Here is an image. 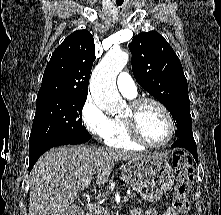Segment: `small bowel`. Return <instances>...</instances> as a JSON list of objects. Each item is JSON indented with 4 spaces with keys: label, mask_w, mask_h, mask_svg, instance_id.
<instances>
[{
    "label": "small bowel",
    "mask_w": 221,
    "mask_h": 215,
    "mask_svg": "<svg viewBox=\"0 0 221 215\" xmlns=\"http://www.w3.org/2000/svg\"><path fill=\"white\" fill-rule=\"evenodd\" d=\"M132 215H178V213L173 208H168L163 212H158L155 209H149L146 211H143L141 209H136L133 211Z\"/></svg>",
    "instance_id": "obj_1"
}]
</instances>
